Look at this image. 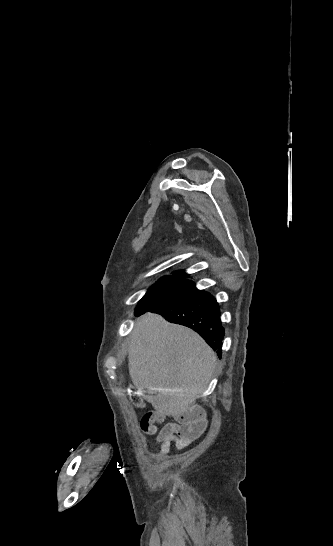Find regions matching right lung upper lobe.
<instances>
[{
  "label": "right lung upper lobe",
  "instance_id": "1",
  "mask_svg": "<svg viewBox=\"0 0 333 546\" xmlns=\"http://www.w3.org/2000/svg\"><path fill=\"white\" fill-rule=\"evenodd\" d=\"M167 277H173L177 279L186 280L185 277H188V274L184 273L183 271H178V272H175L173 276H167Z\"/></svg>",
  "mask_w": 333,
  "mask_h": 546
}]
</instances>
